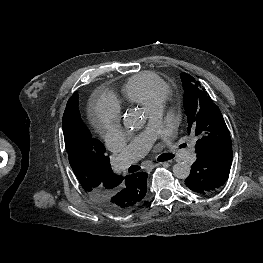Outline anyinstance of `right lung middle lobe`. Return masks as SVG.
<instances>
[{
	"label": "right lung middle lobe",
	"instance_id": "obj_1",
	"mask_svg": "<svg viewBox=\"0 0 263 263\" xmlns=\"http://www.w3.org/2000/svg\"><path fill=\"white\" fill-rule=\"evenodd\" d=\"M62 126L72 136L70 163L74 174L84 190L91 193L99 185L100 155L104 154V150L103 145L92 137L80 118L77 93L73 94L66 105Z\"/></svg>",
	"mask_w": 263,
	"mask_h": 263
}]
</instances>
